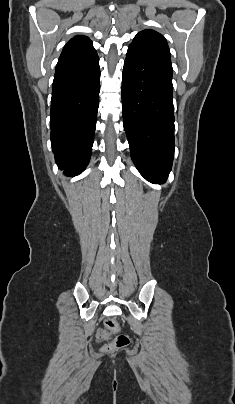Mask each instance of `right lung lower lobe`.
I'll list each match as a JSON object with an SVG mask.
<instances>
[{
  "label": "right lung lower lobe",
  "instance_id": "right-lung-lower-lobe-1",
  "mask_svg": "<svg viewBox=\"0 0 235 404\" xmlns=\"http://www.w3.org/2000/svg\"><path fill=\"white\" fill-rule=\"evenodd\" d=\"M99 90L98 56L57 64L51 98V145L58 167L67 176L80 174L89 162Z\"/></svg>",
  "mask_w": 235,
  "mask_h": 404
}]
</instances>
